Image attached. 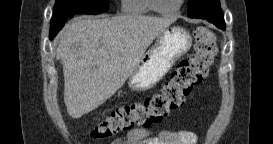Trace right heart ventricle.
Returning a JSON list of instances; mask_svg holds the SVG:
<instances>
[{"label":"right heart ventricle","instance_id":"1","mask_svg":"<svg viewBox=\"0 0 273 144\" xmlns=\"http://www.w3.org/2000/svg\"><path fill=\"white\" fill-rule=\"evenodd\" d=\"M122 11L130 16H145L151 11L149 0H123Z\"/></svg>","mask_w":273,"mask_h":144}]
</instances>
